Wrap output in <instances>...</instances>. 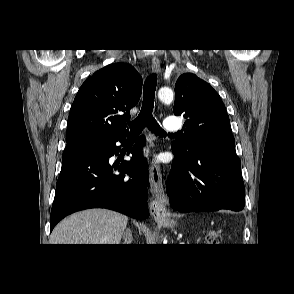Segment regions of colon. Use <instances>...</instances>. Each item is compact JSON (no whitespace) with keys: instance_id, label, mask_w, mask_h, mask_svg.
<instances>
[{"instance_id":"colon-1","label":"colon","mask_w":294,"mask_h":294,"mask_svg":"<svg viewBox=\"0 0 294 294\" xmlns=\"http://www.w3.org/2000/svg\"><path fill=\"white\" fill-rule=\"evenodd\" d=\"M205 242L209 246H216L219 242V233L215 229H210L205 236Z\"/></svg>"}]
</instances>
